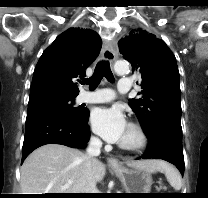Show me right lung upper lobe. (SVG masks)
<instances>
[{
	"mask_svg": "<svg viewBox=\"0 0 208 198\" xmlns=\"http://www.w3.org/2000/svg\"><path fill=\"white\" fill-rule=\"evenodd\" d=\"M101 46V38L91 29L69 28L59 35L36 65L28 107L75 98L79 89L73 80L85 76Z\"/></svg>",
	"mask_w": 208,
	"mask_h": 198,
	"instance_id": "right-lung-upper-lobe-1",
	"label": "right lung upper lobe"
}]
</instances>
